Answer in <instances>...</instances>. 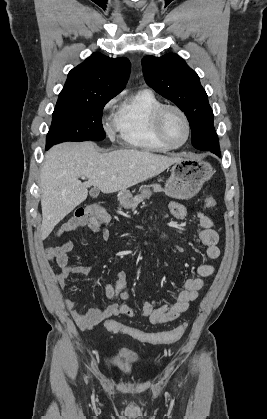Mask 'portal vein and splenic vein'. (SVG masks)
Here are the masks:
<instances>
[{"label": "portal vein and splenic vein", "instance_id": "1", "mask_svg": "<svg viewBox=\"0 0 267 419\" xmlns=\"http://www.w3.org/2000/svg\"><path fill=\"white\" fill-rule=\"evenodd\" d=\"M112 177H113V178H116V175H113ZM82 178H84V177H82Z\"/></svg>", "mask_w": 267, "mask_h": 419}]
</instances>
